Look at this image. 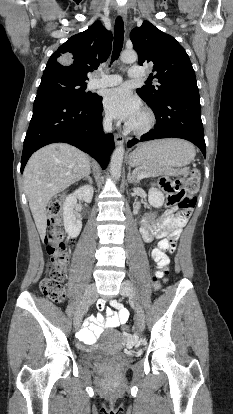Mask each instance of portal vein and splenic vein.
<instances>
[{"label":"portal vein and splenic vein","instance_id":"obj_1","mask_svg":"<svg viewBox=\"0 0 233 414\" xmlns=\"http://www.w3.org/2000/svg\"><path fill=\"white\" fill-rule=\"evenodd\" d=\"M138 180L143 179V175L137 177Z\"/></svg>","mask_w":233,"mask_h":414}]
</instances>
